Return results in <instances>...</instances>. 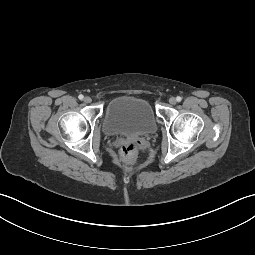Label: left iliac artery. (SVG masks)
Returning a JSON list of instances; mask_svg holds the SVG:
<instances>
[{
	"instance_id": "left-iliac-artery-1",
	"label": "left iliac artery",
	"mask_w": 255,
	"mask_h": 255,
	"mask_svg": "<svg viewBox=\"0 0 255 255\" xmlns=\"http://www.w3.org/2000/svg\"><path fill=\"white\" fill-rule=\"evenodd\" d=\"M176 100H177V102H180L182 100V98L180 96H177Z\"/></svg>"
}]
</instances>
